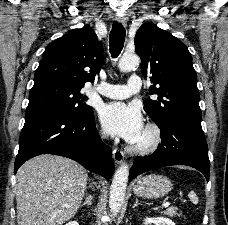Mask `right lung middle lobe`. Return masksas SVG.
Wrapping results in <instances>:
<instances>
[{
  "instance_id": "1",
  "label": "right lung middle lobe",
  "mask_w": 228,
  "mask_h": 225,
  "mask_svg": "<svg viewBox=\"0 0 228 225\" xmlns=\"http://www.w3.org/2000/svg\"><path fill=\"white\" fill-rule=\"evenodd\" d=\"M81 88L61 82L35 84L30 91L26 112L50 107L76 114L92 112V107L83 103L86 98L80 93Z\"/></svg>"
}]
</instances>
